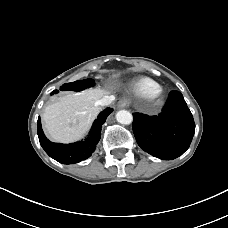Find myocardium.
<instances>
[{"label":"myocardium","instance_id":"1","mask_svg":"<svg viewBox=\"0 0 228 228\" xmlns=\"http://www.w3.org/2000/svg\"><path fill=\"white\" fill-rule=\"evenodd\" d=\"M148 98L155 106H160L165 100V92L162 88H159L155 90Z\"/></svg>","mask_w":228,"mask_h":228}]
</instances>
